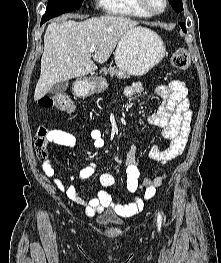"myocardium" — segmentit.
<instances>
[{
  "label": "myocardium",
  "mask_w": 221,
  "mask_h": 263,
  "mask_svg": "<svg viewBox=\"0 0 221 263\" xmlns=\"http://www.w3.org/2000/svg\"><path fill=\"white\" fill-rule=\"evenodd\" d=\"M140 6L142 9L149 15V16H155L160 15L164 13L168 7V0H163V7L160 10L153 9L150 4L149 0H138Z\"/></svg>",
  "instance_id": "obj_1"
}]
</instances>
